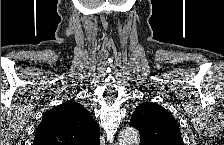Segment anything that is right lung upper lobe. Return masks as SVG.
I'll list each match as a JSON object with an SVG mask.
<instances>
[{"instance_id": "cb5924a9", "label": "right lung upper lobe", "mask_w": 224, "mask_h": 145, "mask_svg": "<svg viewBox=\"0 0 224 145\" xmlns=\"http://www.w3.org/2000/svg\"><path fill=\"white\" fill-rule=\"evenodd\" d=\"M100 128L79 103L66 101L49 110L40 122L35 145H99Z\"/></svg>"}]
</instances>
